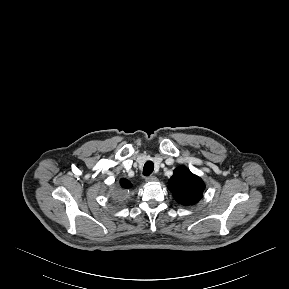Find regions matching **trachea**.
<instances>
[{
	"mask_svg": "<svg viewBox=\"0 0 289 289\" xmlns=\"http://www.w3.org/2000/svg\"><path fill=\"white\" fill-rule=\"evenodd\" d=\"M154 170V164L152 161H147L143 167V175L149 176Z\"/></svg>",
	"mask_w": 289,
	"mask_h": 289,
	"instance_id": "1",
	"label": "trachea"
}]
</instances>
